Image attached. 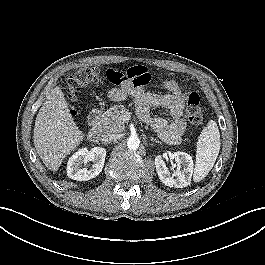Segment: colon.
<instances>
[{
  "label": "colon",
  "mask_w": 265,
  "mask_h": 265,
  "mask_svg": "<svg viewBox=\"0 0 265 265\" xmlns=\"http://www.w3.org/2000/svg\"><path fill=\"white\" fill-rule=\"evenodd\" d=\"M127 81H132L137 85H143L146 81L132 69L127 72H120L114 69L102 71L95 67H85L73 73L67 83V92L69 100L74 103L77 98V92L89 85L109 83L120 86ZM189 122L193 125H199L203 121V110L201 107L200 97L197 93L192 92L187 98L185 110Z\"/></svg>",
  "instance_id": "5ec220e1"
}]
</instances>
